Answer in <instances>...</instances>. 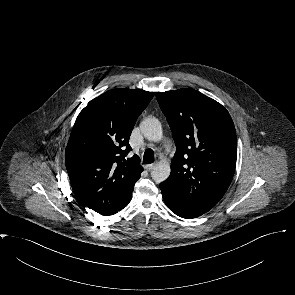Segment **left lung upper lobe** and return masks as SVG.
Wrapping results in <instances>:
<instances>
[{"label": "left lung upper lobe", "instance_id": "left-lung-upper-lobe-1", "mask_svg": "<svg viewBox=\"0 0 295 295\" xmlns=\"http://www.w3.org/2000/svg\"><path fill=\"white\" fill-rule=\"evenodd\" d=\"M167 118L177 151L171 174L162 182L190 212L212 209L232 181L237 139L227 110L194 89L156 93Z\"/></svg>", "mask_w": 295, "mask_h": 295}]
</instances>
